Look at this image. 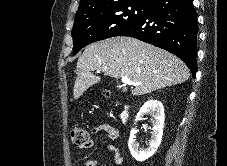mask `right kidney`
I'll use <instances>...</instances> for the list:
<instances>
[{"instance_id":"1","label":"right kidney","mask_w":227,"mask_h":166,"mask_svg":"<svg viewBox=\"0 0 227 166\" xmlns=\"http://www.w3.org/2000/svg\"><path fill=\"white\" fill-rule=\"evenodd\" d=\"M147 114H150L154 118L152 124V136L149 140L148 147L142 150L139 149L135 139V134L137 133L135 128L131 129L128 141V147L132 157L140 162L153 156L161 143L165 119L163 104L154 99L148 100L137 113L135 121L137 122L142 120Z\"/></svg>"}]
</instances>
